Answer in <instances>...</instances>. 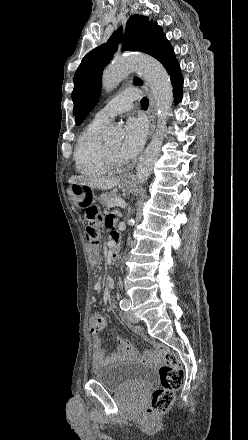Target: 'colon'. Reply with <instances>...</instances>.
<instances>
[{
    "label": "colon",
    "mask_w": 248,
    "mask_h": 440,
    "mask_svg": "<svg viewBox=\"0 0 248 440\" xmlns=\"http://www.w3.org/2000/svg\"><path fill=\"white\" fill-rule=\"evenodd\" d=\"M88 223L86 227V239L91 245H96L99 240L98 228L101 219L96 208H90L85 214ZM90 260L93 265L98 263V255L94 249L90 251ZM154 350L163 355L164 361L159 368L160 387L152 394L148 413L161 415L166 413L175 398V392L184 382V371L177 355L168 347L155 341H149Z\"/></svg>",
    "instance_id": "1"
}]
</instances>
